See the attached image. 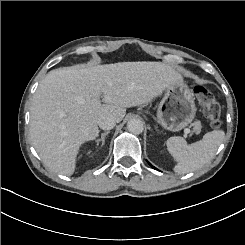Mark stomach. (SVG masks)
<instances>
[{"mask_svg":"<svg viewBox=\"0 0 245 245\" xmlns=\"http://www.w3.org/2000/svg\"><path fill=\"white\" fill-rule=\"evenodd\" d=\"M164 95L158 107V121L171 131H179L194 118V95L184 81H172L164 87Z\"/></svg>","mask_w":245,"mask_h":245,"instance_id":"0dacf381","label":"stomach"}]
</instances>
